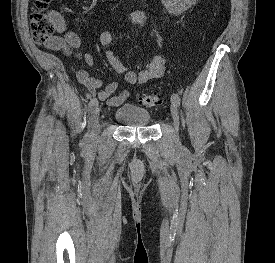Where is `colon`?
<instances>
[{
  "mask_svg": "<svg viewBox=\"0 0 275 263\" xmlns=\"http://www.w3.org/2000/svg\"><path fill=\"white\" fill-rule=\"evenodd\" d=\"M51 0H34L33 9L30 14V26L32 36L38 43L45 44L54 38L56 26L51 17L45 11ZM137 102L144 107H159L162 98L155 93H143L137 95Z\"/></svg>",
  "mask_w": 275,
  "mask_h": 263,
  "instance_id": "5ec220e1",
  "label": "colon"
}]
</instances>
